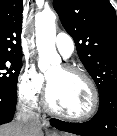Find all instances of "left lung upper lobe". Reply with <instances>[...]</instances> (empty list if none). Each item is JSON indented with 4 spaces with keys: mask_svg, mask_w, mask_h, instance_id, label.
Returning <instances> with one entry per match:
<instances>
[{
    "mask_svg": "<svg viewBox=\"0 0 117 136\" xmlns=\"http://www.w3.org/2000/svg\"><path fill=\"white\" fill-rule=\"evenodd\" d=\"M99 98L117 86V18L108 0H53Z\"/></svg>",
    "mask_w": 117,
    "mask_h": 136,
    "instance_id": "5c2ea615",
    "label": "left lung upper lobe"
}]
</instances>
